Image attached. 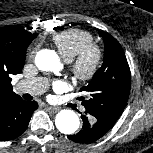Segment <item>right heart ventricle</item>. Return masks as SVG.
Here are the masks:
<instances>
[{"label":"right heart ventricle","instance_id":"obj_1","mask_svg":"<svg viewBox=\"0 0 153 153\" xmlns=\"http://www.w3.org/2000/svg\"><path fill=\"white\" fill-rule=\"evenodd\" d=\"M53 43L66 61H71L87 44L93 42V35L80 28H70L55 34Z\"/></svg>","mask_w":153,"mask_h":153}]
</instances>
